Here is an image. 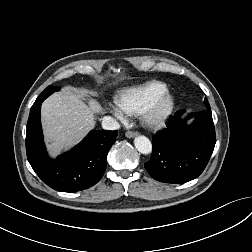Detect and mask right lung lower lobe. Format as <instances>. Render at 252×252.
Masks as SVG:
<instances>
[{"label":"right lung lower lobe","instance_id":"1","mask_svg":"<svg viewBox=\"0 0 252 252\" xmlns=\"http://www.w3.org/2000/svg\"><path fill=\"white\" fill-rule=\"evenodd\" d=\"M43 100L35 101L27 123L26 152L35 173L51 188L61 192L87 189L102 178L107 154L117 131L92 130L71 151L51 160L46 152L40 121Z\"/></svg>","mask_w":252,"mask_h":252}]
</instances>
